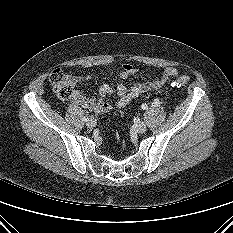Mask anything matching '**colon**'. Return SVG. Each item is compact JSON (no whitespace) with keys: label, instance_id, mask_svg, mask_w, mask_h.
<instances>
[{"label":"colon","instance_id":"colon-1","mask_svg":"<svg viewBox=\"0 0 233 233\" xmlns=\"http://www.w3.org/2000/svg\"><path fill=\"white\" fill-rule=\"evenodd\" d=\"M49 81L56 95L62 101L75 100L81 96L79 91L75 89L73 79L60 69H56L51 72ZM189 81V76L182 75L177 78L174 85L181 87L188 84Z\"/></svg>","mask_w":233,"mask_h":233}]
</instances>
